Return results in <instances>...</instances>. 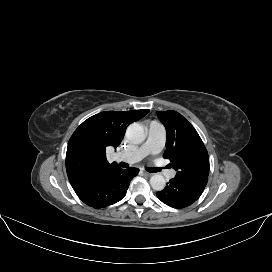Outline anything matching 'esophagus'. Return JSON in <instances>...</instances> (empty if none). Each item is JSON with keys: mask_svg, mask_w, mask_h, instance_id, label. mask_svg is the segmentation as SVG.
Wrapping results in <instances>:
<instances>
[{"mask_svg": "<svg viewBox=\"0 0 272 272\" xmlns=\"http://www.w3.org/2000/svg\"><path fill=\"white\" fill-rule=\"evenodd\" d=\"M144 174H145L146 176H148V177H150V176H152V175H153L152 173L147 172V171H144Z\"/></svg>", "mask_w": 272, "mask_h": 272, "instance_id": "esophagus-1", "label": "esophagus"}]
</instances>
